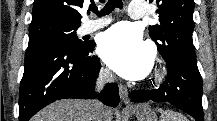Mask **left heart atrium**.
Returning a JSON list of instances; mask_svg holds the SVG:
<instances>
[{
    "mask_svg": "<svg viewBox=\"0 0 217 121\" xmlns=\"http://www.w3.org/2000/svg\"><path fill=\"white\" fill-rule=\"evenodd\" d=\"M98 50L105 63L127 79H141L152 68L151 48L139 30L128 24H118L104 32Z\"/></svg>",
    "mask_w": 217,
    "mask_h": 121,
    "instance_id": "left-heart-atrium-1",
    "label": "left heart atrium"
}]
</instances>
